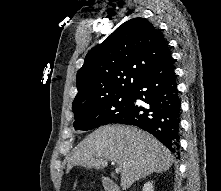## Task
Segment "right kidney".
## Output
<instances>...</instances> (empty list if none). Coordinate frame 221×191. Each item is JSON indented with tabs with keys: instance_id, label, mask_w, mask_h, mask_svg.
<instances>
[{
	"instance_id": "1",
	"label": "right kidney",
	"mask_w": 221,
	"mask_h": 191,
	"mask_svg": "<svg viewBox=\"0 0 221 191\" xmlns=\"http://www.w3.org/2000/svg\"><path fill=\"white\" fill-rule=\"evenodd\" d=\"M142 191H154L153 181L144 184Z\"/></svg>"
}]
</instances>
